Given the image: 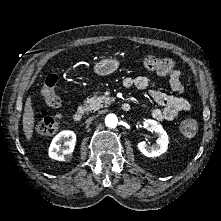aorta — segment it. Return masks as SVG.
<instances>
[{"label":"aorta","mask_w":221,"mask_h":221,"mask_svg":"<svg viewBox=\"0 0 221 221\" xmlns=\"http://www.w3.org/2000/svg\"><path fill=\"white\" fill-rule=\"evenodd\" d=\"M105 125L109 128H115L118 125V117L115 114H108L105 117Z\"/></svg>","instance_id":"762f6f07"}]
</instances>
